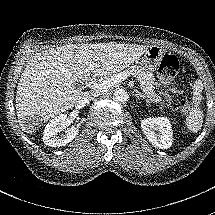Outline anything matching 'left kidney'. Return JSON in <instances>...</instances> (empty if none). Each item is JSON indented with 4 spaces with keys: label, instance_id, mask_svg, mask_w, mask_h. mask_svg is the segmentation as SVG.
Segmentation results:
<instances>
[{
    "label": "left kidney",
    "instance_id": "5707ae66",
    "mask_svg": "<svg viewBox=\"0 0 215 215\" xmlns=\"http://www.w3.org/2000/svg\"><path fill=\"white\" fill-rule=\"evenodd\" d=\"M141 129L155 148L162 150L171 146L172 131L165 117L147 118L141 122Z\"/></svg>",
    "mask_w": 215,
    "mask_h": 215
}]
</instances>
